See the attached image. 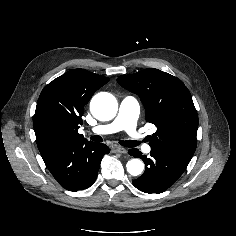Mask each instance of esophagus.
Returning a JSON list of instances; mask_svg holds the SVG:
<instances>
[{
  "label": "esophagus",
  "mask_w": 236,
  "mask_h": 236,
  "mask_svg": "<svg viewBox=\"0 0 236 236\" xmlns=\"http://www.w3.org/2000/svg\"><path fill=\"white\" fill-rule=\"evenodd\" d=\"M112 151L114 153H121V154H126L127 153V149H125L123 147H119V146L113 147Z\"/></svg>",
  "instance_id": "esophagus-1"
}]
</instances>
